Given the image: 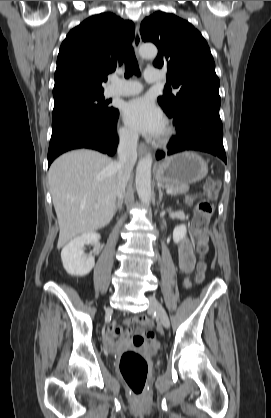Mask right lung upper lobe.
<instances>
[{
	"instance_id": "1",
	"label": "right lung upper lobe",
	"mask_w": 271,
	"mask_h": 418,
	"mask_svg": "<svg viewBox=\"0 0 271 418\" xmlns=\"http://www.w3.org/2000/svg\"><path fill=\"white\" fill-rule=\"evenodd\" d=\"M135 26L113 13L91 16L73 28L61 44L54 101L75 95L103 93L102 83L119 67Z\"/></svg>"
}]
</instances>
